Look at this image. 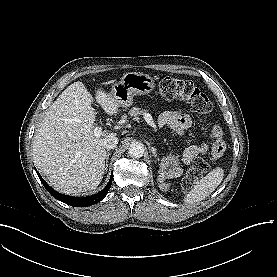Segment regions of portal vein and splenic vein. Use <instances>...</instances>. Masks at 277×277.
I'll return each instance as SVG.
<instances>
[{
    "label": "portal vein and splenic vein",
    "mask_w": 277,
    "mask_h": 277,
    "mask_svg": "<svg viewBox=\"0 0 277 277\" xmlns=\"http://www.w3.org/2000/svg\"><path fill=\"white\" fill-rule=\"evenodd\" d=\"M144 119L148 123V125H150L151 127H155L153 118L149 113L144 114ZM93 132H94L95 137L104 136V132H103L102 127H95Z\"/></svg>",
    "instance_id": "18ae733b"
}]
</instances>
